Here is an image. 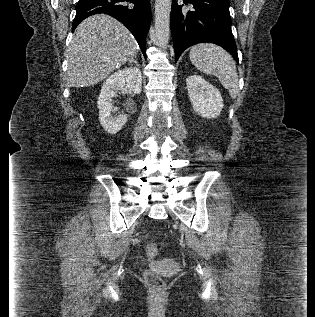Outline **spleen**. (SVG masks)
Listing matches in <instances>:
<instances>
[{
	"label": "spleen",
	"instance_id": "obj_1",
	"mask_svg": "<svg viewBox=\"0 0 315 317\" xmlns=\"http://www.w3.org/2000/svg\"><path fill=\"white\" fill-rule=\"evenodd\" d=\"M189 56L199 71L218 77L221 84L229 90L231 98H236L238 75L235 62L228 52L217 45L201 43L191 48Z\"/></svg>",
	"mask_w": 315,
	"mask_h": 317
}]
</instances>
